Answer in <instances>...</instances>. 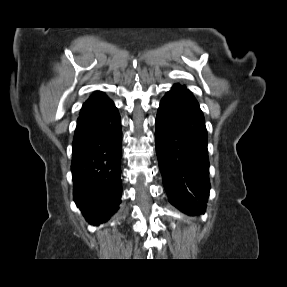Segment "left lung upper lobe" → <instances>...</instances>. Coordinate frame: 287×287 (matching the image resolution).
<instances>
[{
    "label": "left lung upper lobe",
    "instance_id": "obj_1",
    "mask_svg": "<svg viewBox=\"0 0 287 287\" xmlns=\"http://www.w3.org/2000/svg\"><path fill=\"white\" fill-rule=\"evenodd\" d=\"M185 88V87H184ZM186 89V88H185ZM186 91L189 93V95L191 96L192 99H194L196 101V99L194 98V96L192 95V93L186 89ZM197 102V101H196Z\"/></svg>",
    "mask_w": 287,
    "mask_h": 287
}]
</instances>
